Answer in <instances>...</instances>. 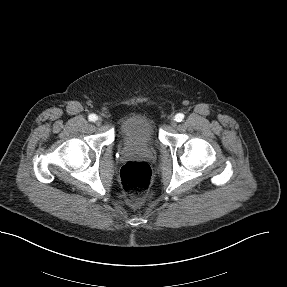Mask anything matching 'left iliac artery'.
<instances>
[{
    "mask_svg": "<svg viewBox=\"0 0 287 287\" xmlns=\"http://www.w3.org/2000/svg\"><path fill=\"white\" fill-rule=\"evenodd\" d=\"M183 119H184V114H183V113H178V114H176L175 120H176L177 122H181Z\"/></svg>",
    "mask_w": 287,
    "mask_h": 287,
    "instance_id": "obj_1",
    "label": "left iliac artery"
}]
</instances>
